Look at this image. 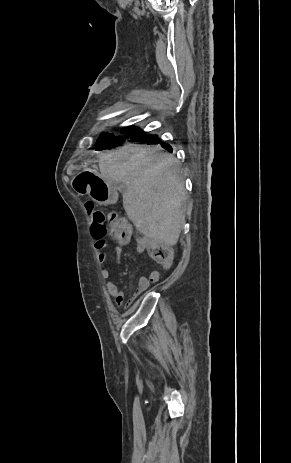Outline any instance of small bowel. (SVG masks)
Segmentation results:
<instances>
[{
  "label": "small bowel",
  "mask_w": 291,
  "mask_h": 463,
  "mask_svg": "<svg viewBox=\"0 0 291 463\" xmlns=\"http://www.w3.org/2000/svg\"><path fill=\"white\" fill-rule=\"evenodd\" d=\"M130 239L117 240L118 245L114 247L115 264H120V257L122 254V245H125L126 243H128ZM133 239L136 242L137 250L139 252H142L143 250L141 249L140 237L134 236ZM98 259L102 264H104V267L102 268V271H101V275L106 280L105 287H106L108 294L110 295V297L112 298L116 306L123 307L124 302H125V294L121 289H119V287L114 282L110 280V269L108 266H106V263L108 261L107 255L104 252H99ZM159 278H160V273L157 270L153 271L149 276H141L139 278L135 293L133 294L131 299L128 301V303L124 307L125 308L129 307L141 294H143L149 288V286L152 283L157 282Z\"/></svg>",
  "instance_id": "obj_1"
}]
</instances>
